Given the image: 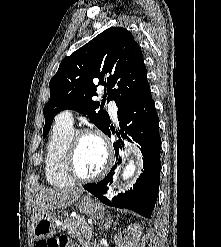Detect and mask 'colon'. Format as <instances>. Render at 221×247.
Returning <instances> with one entry per match:
<instances>
[{
  "label": "colon",
  "instance_id": "colon-1",
  "mask_svg": "<svg viewBox=\"0 0 221 247\" xmlns=\"http://www.w3.org/2000/svg\"><path fill=\"white\" fill-rule=\"evenodd\" d=\"M66 243V238L64 236H59L45 240L44 243H38V247H64Z\"/></svg>",
  "mask_w": 221,
  "mask_h": 247
}]
</instances>
